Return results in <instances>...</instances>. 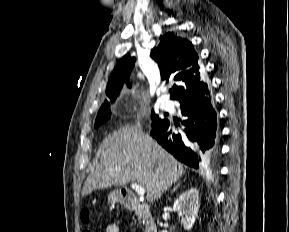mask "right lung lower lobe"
Masks as SVG:
<instances>
[{"instance_id":"1","label":"right lung lower lobe","mask_w":289,"mask_h":232,"mask_svg":"<svg viewBox=\"0 0 289 232\" xmlns=\"http://www.w3.org/2000/svg\"><path fill=\"white\" fill-rule=\"evenodd\" d=\"M187 120L183 133H175L173 125L164 120L153 127L154 137L168 152L184 164L198 169L215 164L219 156L220 128L211 94L180 101Z\"/></svg>"}]
</instances>
